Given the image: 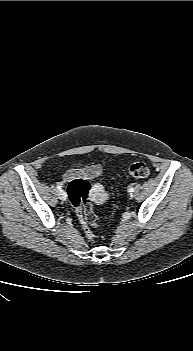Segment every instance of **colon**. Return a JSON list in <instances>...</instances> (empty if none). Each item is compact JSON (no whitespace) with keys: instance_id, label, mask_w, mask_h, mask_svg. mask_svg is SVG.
<instances>
[{"instance_id":"obj_1","label":"colon","mask_w":193,"mask_h":351,"mask_svg":"<svg viewBox=\"0 0 193 351\" xmlns=\"http://www.w3.org/2000/svg\"><path fill=\"white\" fill-rule=\"evenodd\" d=\"M131 177L143 179L150 175L149 167L143 162L132 164L128 170ZM70 200L73 204L75 213L83 227L86 236L92 240V228L101 226V222L95 215L92 202L89 198L92 191L90 183L84 178H75L67 186Z\"/></svg>"}]
</instances>
